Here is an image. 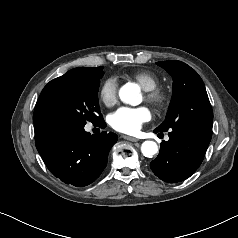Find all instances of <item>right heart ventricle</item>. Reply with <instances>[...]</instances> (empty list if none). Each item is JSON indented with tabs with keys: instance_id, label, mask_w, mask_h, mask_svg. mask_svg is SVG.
I'll use <instances>...</instances> for the list:
<instances>
[{
	"instance_id": "right-heart-ventricle-1",
	"label": "right heart ventricle",
	"mask_w": 238,
	"mask_h": 238,
	"mask_svg": "<svg viewBox=\"0 0 238 238\" xmlns=\"http://www.w3.org/2000/svg\"><path fill=\"white\" fill-rule=\"evenodd\" d=\"M130 78L136 81L145 91L152 90L159 85V78L156 74L147 70L133 72Z\"/></svg>"
}]
</instances>
